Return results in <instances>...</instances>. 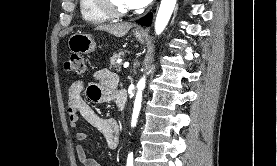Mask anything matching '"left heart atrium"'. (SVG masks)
Here are the masks:
<instances>
[{
	"instance_id": "39dd6f15",
	"label": "left heart atrium",
	"mask_w": 277,
	"mask_h": 166,
	"mask_svg": "<svg viewBox=\"0 0 277 166\" xmlns=\"http://www.w3.org/2000/svg\"><path fill=\"white\" fill-rule=\"evenodd\" d=\"M152 0H125L127 6L131 9H138L147 6Z\"/></svg>"
}]
</instances>
